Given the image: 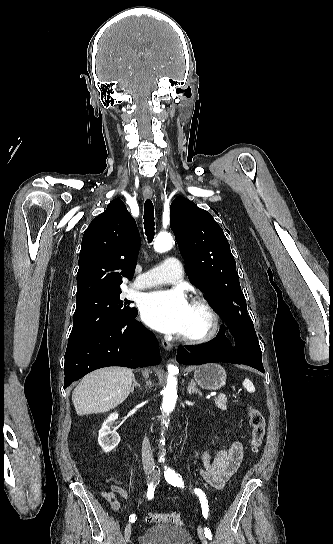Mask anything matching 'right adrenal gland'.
Instances as JSON below:
<instances>
[{"label":"right adrenal gland","mask_w":333,"mask_h":544,"mask_svg":"<svg viewBox=\"0 0 333 544\" xmlns=\"http://www.w3.org/2000/svg\"><path fill=\"white\" fill-rule=\"evenodd\" d=\"M136 386L140 387V384L136 381L135 376L133 375V384H132V387H131V390H130L131 393L134 392V388Z\"/></svg>","instance_id":"1"}]
</instances>
